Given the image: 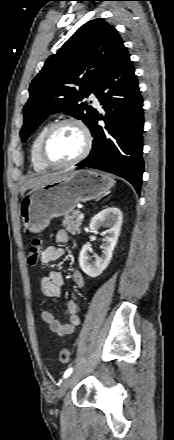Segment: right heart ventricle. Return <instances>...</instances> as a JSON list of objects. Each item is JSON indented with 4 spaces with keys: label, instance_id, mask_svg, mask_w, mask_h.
<instances>
[{
    "label": "right heart ventricle",
    "instance_id": "1",
    "mask_svg": "<svg viewBox=\"0 0 174 440\" xmlns=\"http://www.w3.org/2000/svg\"><path fill=\"white\" fill-rule=\"evenodd\" d=\"M52 125L51 122L45 123L42 125L37 132L34 134L30 145H29V159L32 168L36 172H44L48 170L50 167L45 165L40 158V145L43 139L44 134L48 130V128Z\"/></svg>",
    "mask_w": 174,
    "mask_h": 440
}]
</instances>
